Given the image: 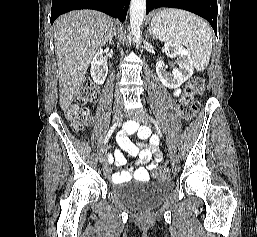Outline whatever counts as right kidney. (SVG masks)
Here are the masks:
<instances>
[{
  "instance_id": "right-kidney-1",
  "label": "right kidney",
  "mask_w": 257,
  "mask_h": 237,
  "mask_svg": "<svg viewBox=\"0 0 257 237\" xmlns=\"http://www.w3.org/2000/svg\"><path fill=\"white\" fill-rule=\"evenodd\" d=\"M103 50L97 51L91 61V77L96 84H103L108 73V66L103 60Z\"/></svg>"
}]
</instances>
